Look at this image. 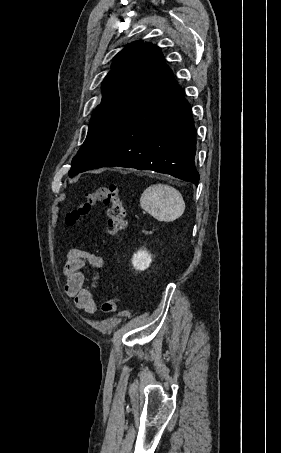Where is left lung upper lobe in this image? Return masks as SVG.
<instances>
[{"mask_svg":"<svg viewBox=\"0 0 281 453\" xmlns=\"http://www.w3.org/2000/svg\"><path fill=\"white\" fill-rule=\"evenodd\" d=\"M165 66L160 49L133 42L119 52L105 77L102 102L92 116L85 142L72 160L69 176L85 167L133 112Z\"/></svg>","mask_w":281,"mask_h":453,"instance_id":"1","label":"left lung upper lobe"}]
</instances>
